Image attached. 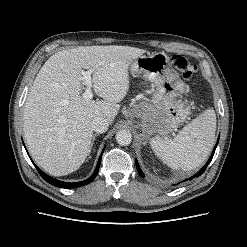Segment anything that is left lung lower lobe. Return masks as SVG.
<instances>
[{"instance_id":"0a47b994","label":"left lung lower lobe","mask_w":247,"mask_h":247,"mask_svg":"<svg viewBox=\"0 0 247 247\" xmlns=\"http://www.w3.org/2000/svg\"><path fill=\"white\" fill-rule=\"evenodd\" d=\"M218 140H219V138H218ZM218 140H217V143H218ZM216 147H217V145L214 147V149H213V151H212V154H211L209 160L207 161L206 165H205L198 173H196L194 176H192L190 179H192V178H194V177L200 176V175L205 171V169L207 168L208 164L211 162V160H212V158H213V155H214V153H215ZM136 167H137V171H138L139 175H140L141 177H144V174H143L141 168L139 167V164H138L137 160H136ZM187 180H189V179H186V180H184V181H187Z\"/></svg>"}]
</instances>
